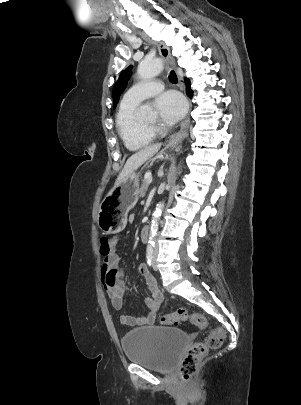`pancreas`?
I'll use <instances>...</instances> for the list:
<instances>
[{
  "mask_svg": "<svg viewBox=\"0 0 301 405\" xmlns=\"http://www.w3.org/2000/svg\"><path fill=\"white\" fill-rule=\"evenodd\" d=\"M148 187H149V180L144 178L142 180V184H141V188H140V196L141 197L145 196Z\"/></svg>",
  "mask_w": 301,
  "mask_h": 405,
  "instance_id": "obj_1",
  "label": "pancreas"
}]
</instances>
